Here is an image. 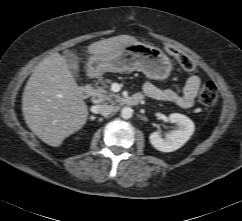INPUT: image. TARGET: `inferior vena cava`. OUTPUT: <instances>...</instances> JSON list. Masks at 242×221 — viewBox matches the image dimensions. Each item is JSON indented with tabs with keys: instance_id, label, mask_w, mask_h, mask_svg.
I'll return each mask as SVG.
<instances>
[{
	"instance_id": "obj_1",
	"label": "inferior vena cava",
	"mask_w": 242,
	"mask_h": 221,
	"mask_svg": "<svg viewBox=\"0 0 242 221\" xmlns=\"http://www.w3.org/2000/svg\"><path fill=\"white\" fill-rule=\"evenodd\" d=\"M115 110L114 106L107 105V104H101L97 106V111L103 116H107L111 114Z\"/></svg>"
}]
</instances>
